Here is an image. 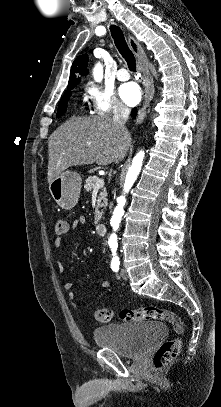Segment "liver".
Returning <instances> with one entry per match:
<instances>
[{
    "label": "liver",
    "mask_w": 221,
    "mask_h": 407,
    "mask_svg": "<svg viewBox=\"0 0 221 407\" xmlns=\"http://www.w3.org/2000/svg\"><path fill=\"white\" fill-rule=\"evenodd\" d=\"M130 146V133L121 131L106 115L72 118L50 136L48 183L72 166L117 164Z\"/></svg>",
    "instance_id": "1"
}]
</instances>
